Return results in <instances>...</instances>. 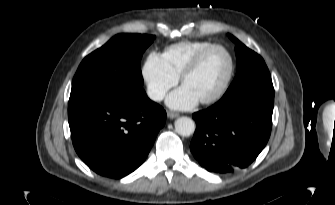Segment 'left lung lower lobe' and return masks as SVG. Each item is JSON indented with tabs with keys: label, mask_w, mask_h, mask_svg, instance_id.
Segmentation results:
<instances>
[{
	"label": "left lung lower lobe",
	"mask_w": 335,
	"mask_h": 205,
	"mask_svg": "<svg viewBox=\"0 0 335 205\" xmlns=\"http://www.w3.org/2000/svg\"><path fill=\"white\" fill-rule=\"evenodd\" d=\"M274 97L246 91L193 114L190 144L195 159L210 172L231 173L251 164L267 144Z\"/></svg>",
	"instance_id": "0a47b994"
}]
</instances>
